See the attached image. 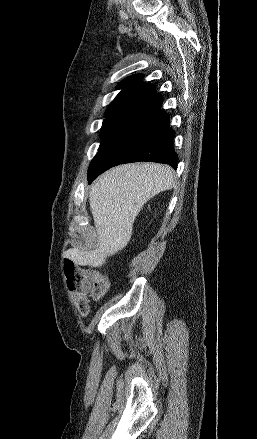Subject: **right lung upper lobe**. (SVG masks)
Segmentation results:
<instances>
[{
	"instance_id": "obj_1",
	"label": "right lung upper lobe",
	"mask_w": 257,
	"mask_h": 439,
	"mask_svg": "<svg viewBox=\"0 0 257 439\" xmlns=\"http://www.w3.org/2000/svg\"><path fill=\"white\" fill-rule=\"evenodd\" d=\"M142 77L133 75L118 84L117 89L122 91L107 108L106 118L129 121L163 100L156 94L154 85L143 83Z\"/></svg>"
}]
</instances>
